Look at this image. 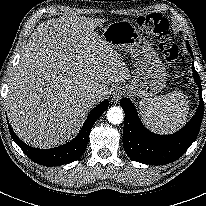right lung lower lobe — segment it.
I'll return each mask as SVG.
<instances>
[{
  "label": "right lung lower lobe",
  "instance_id": "right-lung-lower-lobe-1",
  "mask_svg": "<svg viewBox=\"0 0 206 206\" xmlns=\"http://www.w3.org/2000/svg\"><path fill=\"white\" fill-rule=\"evenodd\" d=\"M108 108V100L97 105L88 115L79 134L70 142L52 149H36L22 142L13 132L8 123L10 134L14 142L34 162L43 166H58L71 163L83 154L89 140V134L96 120Z\"/></svg>",
  "mask_w": 206,
  "mask_h": 206
}]
</instances>
